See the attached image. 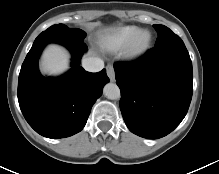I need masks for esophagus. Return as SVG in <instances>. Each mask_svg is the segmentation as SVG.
Returning a JSON list of instances; mask_svg holds the SVG:
<instances>
[{"mask_svg":"<svg viewBox=\"0 0 219 174\" xmlns=\"http://www.w3.org/2000/svg\"><path fill=\"white\" fill-rule=\"evenodd\" d=\"M106 71H107V75H108L110 81L114 82L115 81V72H114L113 66L112 65H107Z\"/></svg>","mask_w":219,"mask_h":174,"instance_id":"esophagus-1","label":"esophagus"}]
</instances>
